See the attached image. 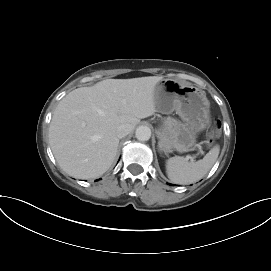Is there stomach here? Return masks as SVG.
Listing matches in <instances>:
<instances>
[{
  "instance_id": "obj_1",
  "label": "stomach",
  "mask_w": 271,
  "mask_h": 271,
  "mask_svg": "<svg viewBox=\"0 0 271 271\" xmlns=\"http://www.w3.org/2000/svg\"><path fill=\"white\" fill-rule=\"evenodd\" d=\"M154 100L159 112L175 111L183 121L176 122L171 129H159L160 151L185 152L195 146L198 133L210 125V102L206 93L191 85L162 79L155 87Z\"/></svg>"
}]
</instances>
